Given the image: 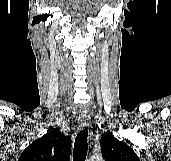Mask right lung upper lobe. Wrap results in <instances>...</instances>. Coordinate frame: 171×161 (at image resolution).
<instances>
[{
	"label": "right lung upper lobe",
	"mask_w": 171,
	"mask_h": 161,
	"mask_svg": "<svg viewBox=\"0 0 171 161\" xmlns=\"http://www.w3.org/2000/svg\"><path fill=\"white\" fill-rule=\"evenodd\" d=\"M70 152V137L55 128L29 145L18 161H69Z\"/></svg>",
	"instance_id": "1"
}]
</instances>
